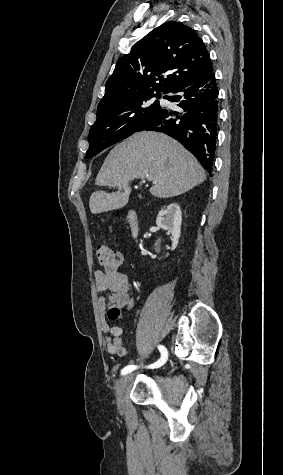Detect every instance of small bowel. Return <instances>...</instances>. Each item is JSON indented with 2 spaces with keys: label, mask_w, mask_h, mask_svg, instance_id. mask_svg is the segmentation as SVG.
<instances>
[{
  "label": "small bowel",
  "mask_w": 283,
  "mask_h": 475,
  "mask_svg": "<svg viewBox=\"0 0 283 475\" xmlns=\"http://www.w3.org/2000/svg\"><path fill=\"white\" fill-rule=\"evenodd\" d=\"M95 290L99 294L98 310L101 330L105 334L106 350L110 355L125 357L127 351L123 342V318L121 309L132 310L135 301L127 276L118 270H96ZM108 293L105 298L103 294ZM108 318L110 320H108Z\"/></svg>",
  "instance_id": "small-bowel-1"
}]
</instances>
